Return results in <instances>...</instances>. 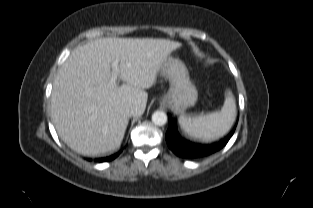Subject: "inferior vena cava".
I'll list each match as a JSON object with an SVG mask.
<instances>
[{
	"mask_svg": "<svg viewBox=\"0 0 313 208\" xmlns=\"http://www.w3.org/2000/svg\"><path fill=\"white\" fill-rule=\"evenodd\" d=\"M119 112L126 117H131L135 113V105L133 103H126L120 106Z\"/></svg>",
	"mask_w": 313,
	"mask_h": 208,
	"instance_id": "obj_1",
	"label": "inferior vena cava"
}]
</instances>
